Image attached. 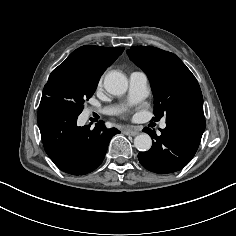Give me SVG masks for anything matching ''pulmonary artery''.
I'll use <instances>...</instances> for the list:
<instances>
[{
	"instance_id": "obj_1",
	"label": "pulmonary artery",
	"mask_w": 236,
	"mask_h": 236,
	"mask_svg": "<svg viewBox=\"0 0 236 236\" xmlns=\"http://www.w3.org/2000/svg\"><path fill=\"white\" fill-rule=\"evenodd\" d=\"M148 92V77L143 71H134L129 76V99L136 103L144 99ZM100 113L110 115L118 112L117 108L106 107L99 110ZM166 127V120H162L160 128Z\"/></svg>"
}]
</instances>
